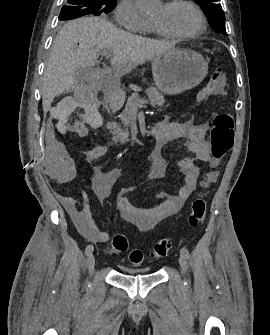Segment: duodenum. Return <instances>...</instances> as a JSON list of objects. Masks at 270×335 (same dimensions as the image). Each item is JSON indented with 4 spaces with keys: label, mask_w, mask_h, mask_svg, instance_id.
<instances>
[{
    "label": "duodenum",
    "mask_w": 270,
    "mask_h": 335,
    "mask_svg": "<svg viewBox=\"0 0 270 335\" xmlns=\"http://www.w3.org/2000/svg\"><path fill=\"white\" fill-rule=\"evenodd\" d=\"M103 92L105 94V107L111 112L118 111L124 101V95L117 84L111 80H106L103 85ZM152 136L156 135V126H153L149 132Z\"/></svg>",
    "instance_id": "410a0bca"
}]
</instances>
